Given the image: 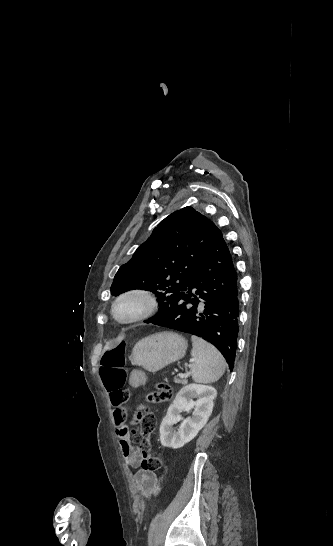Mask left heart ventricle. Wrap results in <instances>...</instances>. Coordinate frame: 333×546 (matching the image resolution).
<instances>
[{
    "label": "left heart ventricle",
    "instance_id": "b2bd125f",
    "mask_svg": "<svg viewBox=\"0 0 333 546\" xmlns=\"http://www.w3.org/2000/svg\"><path fill=\"white\" fill-rule=\"evenodd\" d=\"M132 309H133L132 305H125V306L120 308L119 315L120 316H126L132 311Z\"/></svg>",
    "mask_w": 333,
    "mask_h": 546
}]
</instances>
